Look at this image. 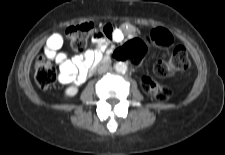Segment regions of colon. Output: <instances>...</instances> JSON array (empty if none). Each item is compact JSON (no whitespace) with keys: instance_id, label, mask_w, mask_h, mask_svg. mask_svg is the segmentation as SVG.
Instances as JSON below:
<instances>
[{"instance_id":"colon-1","label":"colon","mask_w":225,"mask_h":155,"mask_svg":"<svg viewBox=\"0 0 225 155\" xmlns=\"http://www.w3.org/2000/svg\"><path fill=\"white\" fill-rule=\"evenodd\" d=\"M93 32V24L84 22L67 28L66 37L70 47L76 52H82L87 46L89 36ZM146 42L154 46H170L173 43L172 34L165 28L152 29L146 36ZM146 45L141 37H134L125 43L120 49L112 52L114 61L128 60L130 65H137L142 59ZM190 65V59L185 47L177 46L168 61L158 62L154 72L158 77L167 78L176 72L186 70ZM34 78L37 85L42 89L51 87L58 78L57 71L52 61L39 57L34 65ZM146 90L149 95L158 102H166L172 95L168 86L160 85L155 80L146 77L144 79Z\"/></svg>"}]
</instances>
